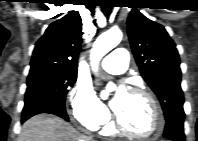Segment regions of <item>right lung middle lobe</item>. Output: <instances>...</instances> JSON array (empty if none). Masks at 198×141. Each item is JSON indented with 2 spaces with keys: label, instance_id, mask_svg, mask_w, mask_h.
I'll use <instances>...</instances> for the list:
<instances>
[{
  "label": "right lung middle lobe",
  "instance_id": "dd1d6c3e",
  "mask_svg": "<svg viewBox=\"0 0 198 141\" xmlns=\"http://www.w3.org/2000/svg\"><path fill=\"white\" fill-rule=\"evenodd\" d=\"M76 79V72H31L27 78L25 104L47 103L65 109V96Z\"/></svg>",
  "mask_w": 198,
  "mask_h": 141
}]
</instances>
